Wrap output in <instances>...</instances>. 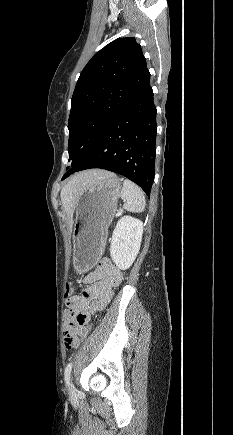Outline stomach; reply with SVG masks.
<instances>
[{
	"label": "stomach",
	"instance_id": "1",
	"mask_svg": "<svg viewBox=\"0 0 233 435\" xmlns=\"http://www.w3.org/2000/svg\"><path fill=\"white\" fill-rule=\"evenodd\" d=\"M120 193L121 179L109 172L79 198L72 236L73 265L77 273L90 271L101 257Z\"/></svg>",
	"mask_w": 233,
	"mask_h": 435
}]
</instances>
